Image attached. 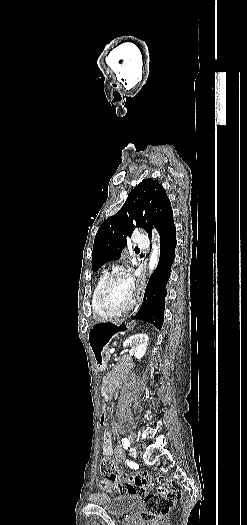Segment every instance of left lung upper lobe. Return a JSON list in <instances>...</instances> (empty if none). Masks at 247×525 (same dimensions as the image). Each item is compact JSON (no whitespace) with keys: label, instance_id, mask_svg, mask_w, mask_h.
Listing matches in <instances>:
<instances>
[{"label":"left lung upper lobe","instance_id":"1","mask_svg":"<svg viewBox=\"0 0 247 525\" xmlns=\"http://www.w3.org/2000/svg\"><path fill=\"white\" fill-rule=\"evenodd\" d=\"M171 214L172 207L165 189L154 179H144L129 194L122 208L99 227L92 252V269L97 271L104 263L119 259L127 245L126 238L137 228L151 236Z\"/></svg>","mask_w":247,"mask_h":525}]
</instances>
